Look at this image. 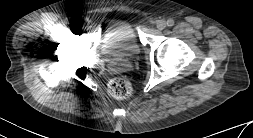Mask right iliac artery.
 Wrapping results in <instances>:
<instances>
[{"instance_id":"82829eb1","label":"right iliac artery","mask_w":253,"mask_h":138,"mask_svg":"<svg viewBox=\"0 0 253 138\" xmlns=\"http://www.w3.org/2000/svg\"><path fill=\"white\" fill-rule=\"evenodd\" d=\"M64 23H65L66 25H69V24L71 23V20H70L69 18H66V19L64 20Z\"/></svg>"}]
</instances>
